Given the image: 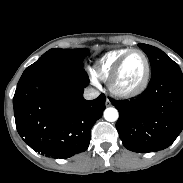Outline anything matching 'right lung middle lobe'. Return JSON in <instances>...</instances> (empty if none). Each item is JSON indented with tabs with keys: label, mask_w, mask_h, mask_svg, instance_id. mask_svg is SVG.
<instances>
[{
	"label": "right lung middle lobe",
	"mask_w": 183,
	"mask_h": 183,
	"mask_svg": "<svg viewBox=\"0 0 183 183\" xmlns=\"http://www.w3.org/2000/svg\"><path fill=\"white\" fill-rule=\"evenodd\" d=\"M88 54L89 50L86 48H53L44 53L35 63L27 67L22 75L46 72L66 67H83V60Z\"/></svg>",
	"instance_id": "right-lung-middle-lobe-1"
}]
</instances>
